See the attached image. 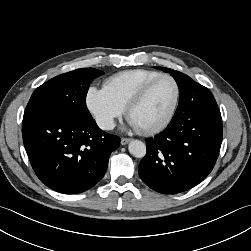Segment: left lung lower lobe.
<instances>
[{
  "label": "left lung lower lobe",
  "instance_id": "obj_1",
  "mask_svg": "<svg viewBox=\"0 0 251 251\" xmlns=\"http://www.w3.org/2000/svg\"><path fill=\"white\" fill-rule=\"evenodd\" d=\"M146 143L138 172L151 189L176 194L199 184L213 169L222 143V118L211 92L200 86L180 95L170 124Z\"/></svg>",
  "mask_w": 251,
  "mask_h": 251
}]
</instances>
